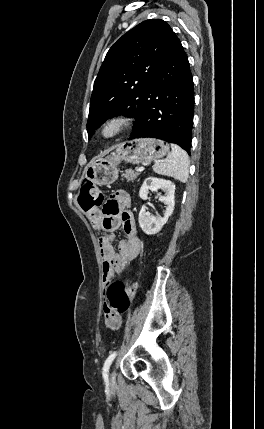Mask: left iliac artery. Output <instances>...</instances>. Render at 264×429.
I'll list each match as a JSON object with an SVG mask.
<instances>
[{"instance_id": "1", "label": "left iliac artery", "mask_w": 264, "mask_h": 429, "mask_svg": "<svg viewBox=\"0 0 264 429\" xmlns=\"http://www.w3.org/2000/svg\"><path fill=\"white\" fill-rule=\"evenodd\" d=\"M117 355V352H113L109 355V357L106 359L104 366H103V378L105 380V382H108V372H109V368L113 362V360L115 359Z\"/></svg>"}]
</instances>
